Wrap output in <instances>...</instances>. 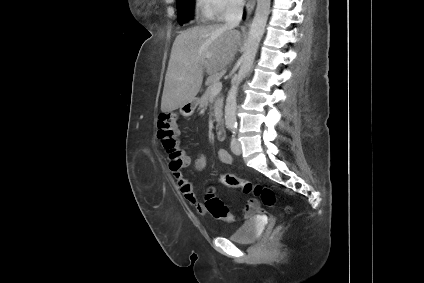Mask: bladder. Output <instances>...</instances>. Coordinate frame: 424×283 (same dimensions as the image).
I'll return each instance as SVG.
<instances>
[{
    "label": "bladder",
    "instance_id": "bladder-1",
    "mask_svg": "<svg viewBox=\"0 0 424 283\" xmlns=\"http://www.w3.org/2000/svg\"><path fill=\"white\" fill-rule=\"evenodd\" d=\"M261 232V226L256 218L245 221L237 230L228 237L231 241L240 244L253 243Z\"/></svg>",
    "mask_w": 424,
    "mask_h": 283
}]
</instances>
